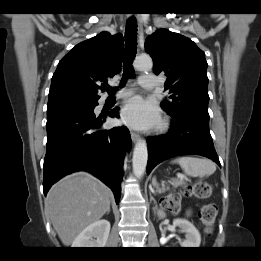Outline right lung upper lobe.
Listing matches in <instances>:
<instances>
[{
    "label": "right lung upper lobe",
    "mask_w": 261,
    "mask_h": 261,
    "mask_svg": "<svg viewBox=\"0 0 261 261\" xmlns=\"http://www.w3.org/2000/svg\"><path fill=\"white\" fill-rule=\"evenodd\" d=\"M123 36L101 32L77 44L58 63L52 77L49 100L76 98L97 101L98 84L120 72Z\"/></svg>",
    "instance_id": "cb5924a9"
}]
</instances>
